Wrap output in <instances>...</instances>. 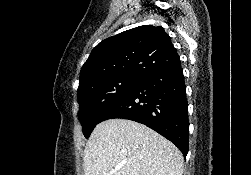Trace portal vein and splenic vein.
<instances>
[{"label": "portal vein and splenic vein", "mask_w": 251, "mask_h": 175, "mask_svg": "<svg viewBox=\"0 0 251 175\" xmlns=\"http://www.w3.org/2000/svg\"><path fill=\"white\" fill-rule=\"evenodd\" d=\"M115 171H117V169H110V173H115Z\"/></svg>", "instance_id": "obj_1"}]
</instances>
